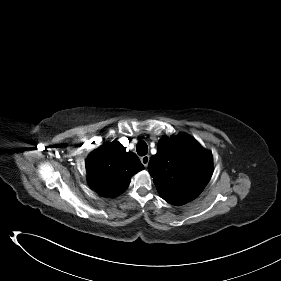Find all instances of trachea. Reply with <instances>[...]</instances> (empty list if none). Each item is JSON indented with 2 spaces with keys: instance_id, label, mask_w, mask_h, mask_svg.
<instances>
[{
  "instance_id": "1",
  "label": "trachea",
  "mask_w": 281,
  "mask_h": 281,
  "mask_svg": "<svg viewBox=\"0 0 281 281\" xmlns=\"http://www.w3.org/2000/svg\"><path fill=\"white\" fill-rule=\"evenodd\" d=\"M136 151H137L138 155H140V156L146 155L148 152L147 144L144 141L138 142V144L136 146Z\"/></svg>"
}]
</instances>
